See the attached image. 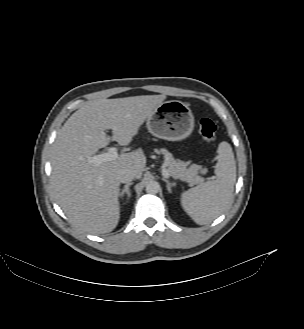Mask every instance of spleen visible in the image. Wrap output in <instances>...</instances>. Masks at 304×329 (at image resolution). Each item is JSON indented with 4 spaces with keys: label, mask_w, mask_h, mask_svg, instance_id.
<instances>
[{
    "label": "spleen",
    "mask_w": 304,
    "mask_h": 329,
    "mask_svg": "<svg viewBox=\"0 0 304 329\" xmlns=\"http://www.w3.org/2000/svg\"><path fill=\"white\" fill-rule=\"evenodd\" d=\"M215 176L181 195L185 212L199 225L212 222L221 215L232 200L236 182V162L232 147L221 142L217 149Z\"/></svg>",
    "instance_id": "obj_1"
}]
</instances>
